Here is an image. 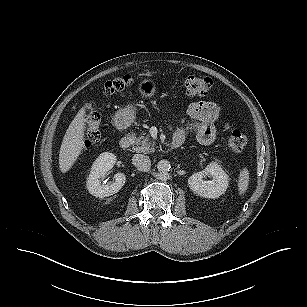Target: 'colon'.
<instances>
[{
	"label": "colon",
	"instance_id": "obj_1",
	"mask_svg": "<svg viewBox=\"0 0 307 307\" xmlns=\"http://www.w3.org/2000/svg\"><path fill=\"white\" fill-rule=\"evenodd\" d=\"M184 91L188 96H207L213 86V82L208 77H199L192 74H184L181 78ZM130 85L127 77L117 78L107 83L105 91L109 95L122 93ZM101 117L98 111L91 105L87 106L84 115V146L90 147L100 139ZM247 137L239 129H233L228 138V145L235 152L242 151L247 145Z\"/></svg>",
	"mask_w": 307,
	"mask_h": 307
}]
</instances>
